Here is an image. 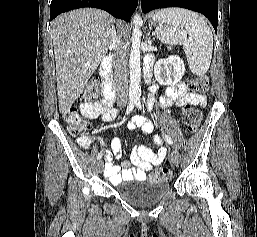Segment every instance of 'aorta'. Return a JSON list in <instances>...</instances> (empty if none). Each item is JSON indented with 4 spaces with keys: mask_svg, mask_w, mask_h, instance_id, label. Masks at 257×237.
Segmentation results:
<instances>
[{
    "mask_svg": "<svg viewBox=\"0 0 257 237\" xmlns=\"http://www.w3.org/2000/svg\"><path fill=\"white\" fill-rule=\"evenodd\" d=\"M143 21L139 14L133 17V32L131 37V51L129 58L130 86L129 96L131 100H139L141 96V66H140V46H141V25Z\"/></svg>",
    "mask_w": 257,
    "mask_h": 237,
    "instance_id": "762f6f07",
    "label": "aorta"
}]
</instances>
